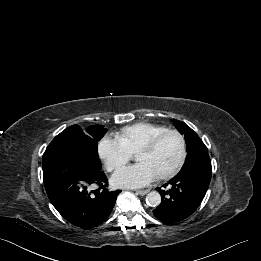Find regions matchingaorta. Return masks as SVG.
Wrapping results in <instances>:
<instances>
[{
  "label": "aorta",
  "instance_id": "1",
  "mask_svg": "<svg viewBox=\"0 0 261 261\" xmlns=\"http://www.w3.org/2000/svg\"><path fill=\"white\" fill-rule=\"evenodd\" d=\"M146 203L151 207H157L161 203V196L157 191H151L146 196Z\"/></svg>",
  "mask_w": 261,
  "mask_h": 261
}]
</instances>
